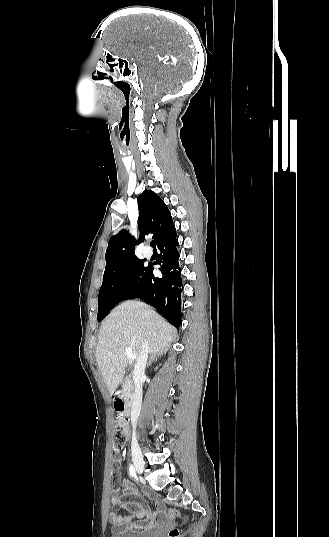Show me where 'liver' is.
Returning a JSON list of instances; mask_svg holds the SVG:
<instances>
[{
    "label": "liver",
    "mask_w": 329,
    "mask_h": 537,
    "mask_svg": "<svg viewBox=\"0 0 329 537\" xmlns=\"http://www.w3.org/2000/svg\"><path fill=\"white\" fill-rule=\"evenodd\" d=\"M176 329L154 309L139 301H126L111 311L102 322L96 348L98 367L110 396L121 383L129 358L125 348L140 355L147 340L149 353L165 351L176 338Z\"/></svg>",
    "instance_id": "1"
}]
</instances>
